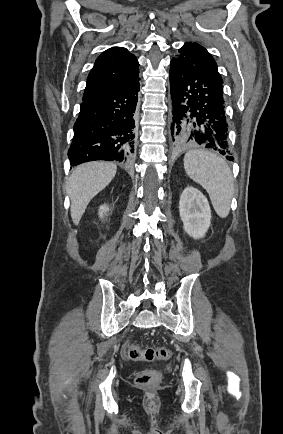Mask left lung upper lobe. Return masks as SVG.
Masks as SVG:
<instances>
[{
	"label": "left lung upper lobe",
	"mask_w": 283,
	"mask_h": 434,
	"mask_svg": "<svg viewBox=\"0 0 283 434\" xmlns=\"http://www.w3.org/2000/svg\"><path fill=\"white\" fill-rule=\"evenodd\" d=\"M174 59L203 72L205 75L223 82L217 64L211 54L201 45L195 42H186L179 50Z\"/></svg>",
	"instance_id": "left-lung-upper-lobe-1"
}]
</instances>
